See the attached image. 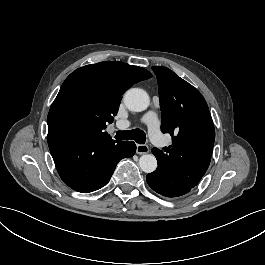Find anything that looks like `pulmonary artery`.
<instances>
[{
	"mask_svg": "<svg viewBox=\"0 0 265 265\" xmlns=\"http://www.w3.org/2000/svg\"><path fill=\"white\" fill-rule=\"evenodd\" d=\"M141 121L144 123L146 129L150 130L148 138L152 147L160 149L164 147L166 140L162 135L161 131L157 130L159 128V118L155 111H148L142 118ZM131 125L129 121H119L116 123V128L126 129Z\"/></svg>",
	"mask_w": 265,
	"mask_h": 265,
	"instance_id": "e3ab8cb5",
	"label": "pulmonary artery"
}]
</instances>
